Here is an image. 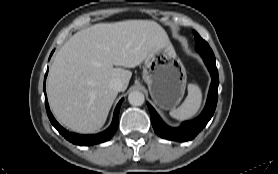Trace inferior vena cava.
Returning <instances> with one entry per match:
<instances>
[{
	"label": "inferior vena cava",
	"mask_w": 278,
	"mask_h": 174,
	"mask_svg": "<svg viewBox=\"0 0 278 174\" xmlns=\"http://www.w3.org/2000/svg\"><path fill=\"white\" fill-rule=\"evenodd\" d=\"M110 87L115 91H122L123 90V82L119 78H114L110 81Z\"/></svg>",
	"instance_id": "inferior-vena-cava-1"
}]
</instances>
